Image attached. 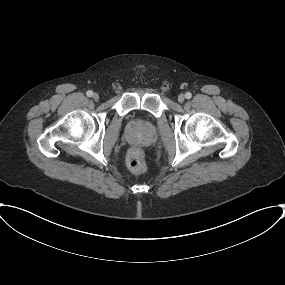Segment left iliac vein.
<instances>
[{
  "label": "left iliac vein",
  "mask_w": 285,
  "mask_h": 285,
  "mask_svg": "<svg viewBox=\"0 0 285 285\" xmlns=\"http://www.w3.org/2000/svg\"><path fill=\"white\" fill-rule=\"evenodd\" d=\"M184 100H185L184 94H180V95L178 96V102H179V103H183Z\"/></svg>",
  "instance_id": "obj_1"
}]
</instances>
